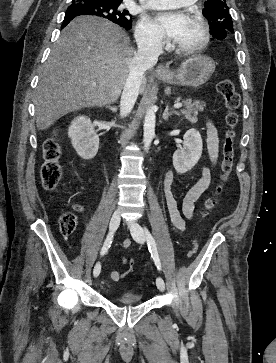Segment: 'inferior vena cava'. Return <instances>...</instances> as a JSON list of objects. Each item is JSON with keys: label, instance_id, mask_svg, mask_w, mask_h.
<instances>
[{"label": "inferior vena cava", "instance_id": "1", "mask_svg": "<svg viewBox=\"0 0 276 363\" xmlns=\"http://www.w3.org/2000/svg\"><path fill=\"white\" fill-rule=\"evenodd\" d=\"M138 51L129 63L127 77L120 101V116H127L137 100L144 72L152 68L163 53L162 39L158 36H146L138 40Z\"/></svg>", "mask_w": 276, "mask_h": 363}]
</instances>
